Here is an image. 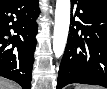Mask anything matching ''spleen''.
Segmentation results:
<instances>
[{
  "instance_id": "3e777b00",
  "label": "spleen",
  "mask_w": 107,
  "mask_h": 89,
  "mask_svg": "<svg viewBox=\"0 0 107 89\" xmlns=\"http://www.w3.org/2000/svg\"><path fill=\"white\" fill-rule=\"evenodd\" d=\"M75 89H99V87H96V86L76 85Z\"/></svg>"
}]
</instances>
